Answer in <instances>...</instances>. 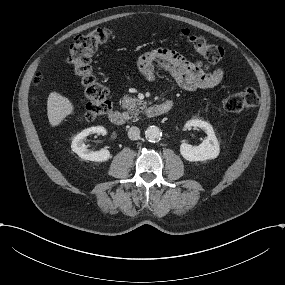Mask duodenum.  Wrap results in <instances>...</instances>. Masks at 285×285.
<instances>
[{
  "instance_id": "1",
  "label": "duodenum",
  "mask_w": 285,
  "mask_h": 285,
  "mask_svg": "<svg viewBox=\"0 0 285 285\" xmlns=\"http://www.w3.org/2000/svg\"><path fill=\"white\" fill-rule=\"evenodd\" d=\"M173 104V100L168 99L162 103L151 105L148 108L147 114L150 117H158L167 114L172 110ZM108 118L113 124L118 126H122L126 122L124 114L117 109H111L108 112Z\"/></svg>"
}]
</instances>
